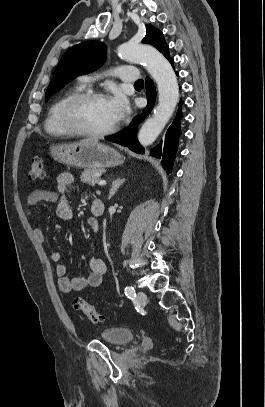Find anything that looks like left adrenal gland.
Returning a JSON list of instances; mask_svg holds the SVG:
<instances>
[{"mask_svg":"<svg viewBox=\"0 0 265 407\" xmlns=\"http://www.w3.org/2000/svg\"><path fill=\"white\" fill-rule=\"evenodd\" d=\"M125 182V178L121 179V178H117L115 180L112 181V186L109 192V197L108 199L110 200L114 194L117 192V190L119 189V187Z\"/></svg>","mask_w":265,"mask_h":407,"instance_id":"obj_1","label":"left adrenal gland"}]
</instances>
